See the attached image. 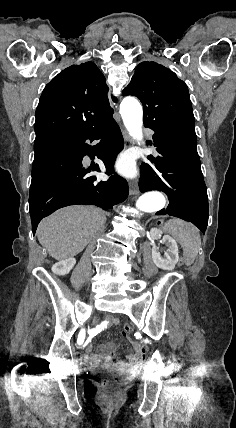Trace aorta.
Here are the masks:
<instances>
[{
    "label": "aorta",
    "instance_id": "obj_1",
    "mask_svg": "<svg viewBox=\"0 0 236 428\" xmlns=\"http://www.w3.org/2000/svg\"><path fill=\"white\" fill-rule=\"evenodd\" d=\"M120 113L123 123L129 132L140 143L142 140L143 109L133 97H126L120 104ZM166 204L165 196L161 192H146L136 202L141 211L152 213L160 211Z\"/></svg>",
    "mask_w": 236,
    "mask_h": 428
}]
</instances>
